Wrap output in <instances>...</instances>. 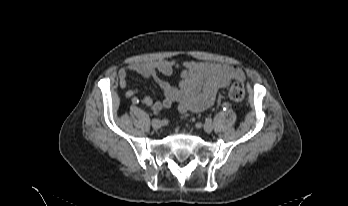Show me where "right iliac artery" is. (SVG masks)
I'll return each mask as SVG.
<instances>
[{
  "mask_svg": "<svg viewBox=\"0 0 348 206\" xmlns=\"http://www.w3.org/2000/svg\"><path fill=\"white\" fill-rule=\"evenodd\" d=\"M133 104L134 105H139V100L137 98H133Z\"/></svg>",
  "mask_w": 348,
  "mask_h": 206,
  "instance_id": "obj_1",
  "label": "right iliac artery"
}]
</instances>
